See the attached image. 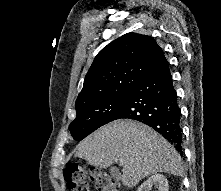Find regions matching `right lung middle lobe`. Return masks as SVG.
<instances>
[{"mask_svg": "<svg viewBox=\"0 0 221 191\" xmlns=\"http://www.w3.org/2000/svg\"><path fill=\"white\" fill-rule=\"evenodd\" d=\"M131 91L102 100L77 110V116L69 126L75 140H82L99 127L115 120Z\"/></svg>", "mask_w": 221, "mask_h": 191, "instance_id": "1", "label": "right lung middle lobe"}]
</instances>
